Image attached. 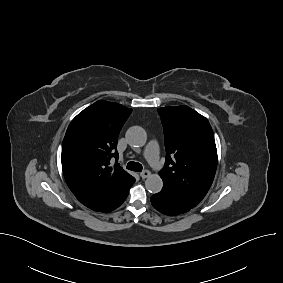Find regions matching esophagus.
Wrapping results in <instances>:
<instances>
[{
    "label": "esophagus",
    "mask_w": 283,
    "mask_h": 283,
    "mask_svg": "<svg viewBox=\"0 0 283 283\" xmlns=\"http://www.w3.org/2000/svg\"><path fill=\"white\" fill-rule=\"evenodd\" d=\"M150 175H151V173H150V171H148V170H144V171H142V172L140 173V177H141L142 179H145V178L149 177Z\"/></svg>",
    "instance_id": "obj_1"
}]
</instances>
